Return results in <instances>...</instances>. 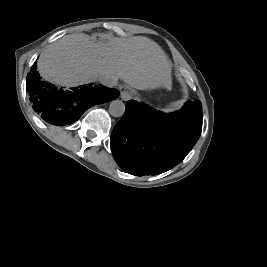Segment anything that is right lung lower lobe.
I'll return each mask as SVG.
<instances>
[{"label":"right lung lower lobe","instance_id":"obj_1","mask_svg":"<svg viewBox=\"0 0 267 267\" xmlns=\"http://www.w3.org/2000/svg\"><path fill=\"white\" fill-rule=\"evenodd\" d=\"M26 89L34 111L44 121L56 126L74 123L90 107L109 102L120 94L117 89L91 84L61 90L42 82L38 73L27 75Z\"/></svg>","mask_w":267,"mask_h":267}]
</instances>
